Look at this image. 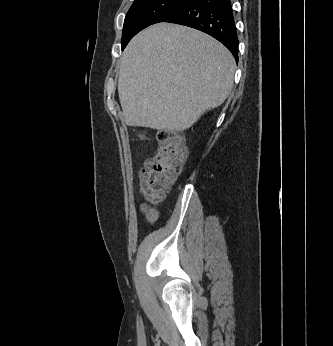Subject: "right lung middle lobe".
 I'll use <instances>...</instances> for the list:
<instances>
[{"label":"right lung middle lobe","mask_w":333,"mask_h":346,"mask_svg":"<svg viewBox=\"0 0 333 346\" xmlns=\"http://www.w3.org/2000/svg\"><path fill=\"white\" fill-rule=\"evenodd\" d=\"M184 0H135L124 21L122 50L142 29L163 22Z\"/></svg>","instance_id":"obj_1"}]
</instances>
